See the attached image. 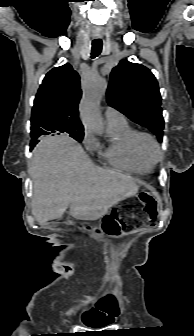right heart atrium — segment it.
<instances>
[{
	"instance_id": "obj_1",
	"label": "right heart atrium",
	"mask_w": 194,
	"mask_h": 336,
	"mask_svg": "<svg viewBox=\"0 0 194 336\" xmlns=\"http://www.w3.org/2000/svg\"><path fill=\"white\" fill-rule=\"evenodd\" d=\"M83 142L87 149L94 150L97 147V140L95 137L89 132L85 131L83 135Z\"/></svg>"
}]
</instances>
